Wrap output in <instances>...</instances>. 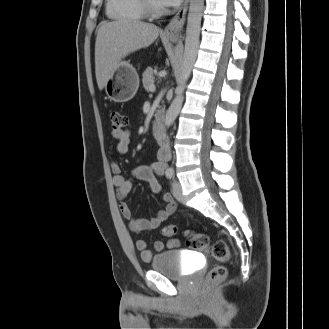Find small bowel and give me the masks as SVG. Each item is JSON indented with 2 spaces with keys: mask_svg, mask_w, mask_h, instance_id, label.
I'll return each instance as SVG.
<instances>
[{
  "mask_svg": "<svg viewBox=\"0 0 329 329\" xmlns=\"http://www.w3.org/2000/svg\"><path fill=\"white\" fill-rule=\"evenodd\" d=\"M112 137L117 143V151L120 154L126 153L131 144L130 132L124 130L119 136L112 133ZM165 166V163L162 161H156L148 165H137L132 169L130 177H126L122 174V168L118 162H113L111 165V170L114 174L113 183L116 188V196L119 200V210L122 216L128 221L130 230L135 233H142L146 230L156 229L164 220L172 215L177 208L174 198L170 194L164 193L162 195V200L165 202L164 209L152 219L144 220L135 219L130 207L125 203V200L128 198L132 189V179L145 181L149 184L153 193H160L162 187L158 178L164 173ZM135 247L144 261L152 259L153 253L147 248V244L144 240H138ZM179 247L180 241L177 239H170L167 242L158 240L154 244V249L158 253L163 252L165 248L175 249Z\"/></svg>",
  "mask_w": 329,
  "mask_h": 329,
  "instance_id": "1",
  "label": "small bowel"
}]
</instances>
